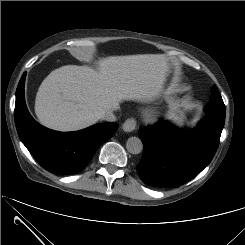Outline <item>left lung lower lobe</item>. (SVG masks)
<instances>
[{
  "label": "left lung lower lobe",
  "instance_id": "1",
  "mask_svg": "<svg viewBox=\"0 0 245 245\" xmlns=\"http://www.w3.org/2000/svg\"><path fill=\"white\" fill-rule=\"evenodd\" d=\"M225 119L206 113L194 131L181 132L166 120L139 129L144 145L137 166L140 178L155 187H179L213 159Z\"/></svg>",
  "mask_w": 245,
  "mask_h": 245
}]
</instances>
